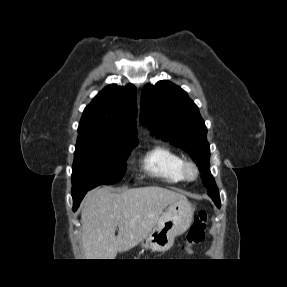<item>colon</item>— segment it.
Listing matches in <instances>:
<instances>
[{"mask_svg": "<svg viewBox=\"0 0 287 287\" xmlns=\"http://www.w3.org/2000/svg\"><path fill=\"white\" fill-rule=\"evenodd\" d=\"M207 221L208 216L205 211H199L195 215L193 223L187 233L186 241L182 245V249L184 252H190L193 245L198 244L203 240Z\"/></svg>", "mask_w": 287, "mask_h": 287, "instance_id": "obj_1", "label": "colon"}]
</instances>
